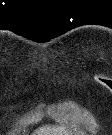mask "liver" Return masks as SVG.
<instances>
[{
	"label": "liver",
	"mask_w": 112,
	"mask_h": 135,
	"mask_svg": "<svg viewBox=\"0 0 112 135\" xmlns=\"http://www.w3.org/2000/svg\"><path fill=\"white\" fill-rule=\"evenodd\" d=\"M65 131H59V132H56V134H64Z\"/></svg>",
	"instance_id": "obj_1"
}]
</instances>
